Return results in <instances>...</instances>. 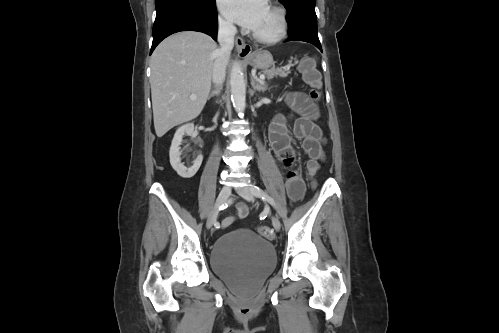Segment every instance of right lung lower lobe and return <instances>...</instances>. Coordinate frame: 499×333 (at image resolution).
<instances>
[{
  "mask_svg": "<svg viewBox=\"0 0 499 333\" xmlns=\"http://www.w3.org/2000/svg\"><path fill=\"white\" fill-rule=\"evenodd\" d=\"M187 30L203 32L217 40L218 24L215 3L206 10L173 7L157 12L150 53L167 36Z\"/></svg>",
  "mask_w": 499,
  "mask_h": 333,
  "instance_id": "98d812e1",
  "label": "right lung lower lobe"
}]
</instances>
